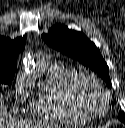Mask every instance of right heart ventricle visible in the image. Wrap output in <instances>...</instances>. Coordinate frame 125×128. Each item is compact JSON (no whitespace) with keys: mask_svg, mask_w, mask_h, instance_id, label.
Masks as SVG:
<instances>
[{"mask_svg":"<svg viewBox=\"0 0 125 128\" xmlns=\"http://www.w3.org/2000/svg\"><path fill=\"white\" fill-rule=\"evenodd\" d=\"M77 74L62 63L51 64L44 83L31 101L32 113L62 123H85L89 118L75 107L69 95V85Z\"/></svg>","mask_w":125,"mask_h":128,"instance_id":"obj_1","label":"right heart ventricle"}]
</instances>
